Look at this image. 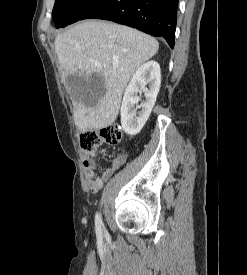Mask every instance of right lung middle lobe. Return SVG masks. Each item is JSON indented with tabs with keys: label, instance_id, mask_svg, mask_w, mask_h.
Here are the masks:
<instances>
[{
	"label": "right lung middle lobe",
	"instance_id": "1",
	"mask_svg": "<svg viewBox=\"0 0 247 275\" xmlns=\"http://www.w3.org/2000/svg\"><path fill=\"white\" fill-rule=\"evenodd\" d=\"M99 0H55L52 18L56 28L65 27L80 20L83 13Z\"/></svg>",
	"mask_w": 247,
	"mask_h": 275
}]
</instances>
